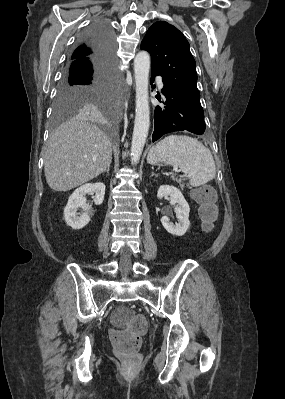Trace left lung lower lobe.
<instances>
[{"mask_svg": "<svg viewBox=\"0 0 285 399\" xmlns=\"http://www.w3.org/2000/svg\"><path fill=\"white\" fill-rule=\"evenodd\" d=\"M156 75L160 74L152 70L151 83H153ZM163 83L162 93L165 101L162 102L163 106L155 108L153 142L162 135L175 131H189L198 135L203 134L206 131L204 116L182 94L173 89L165 79H163Z\"/></svg>", "mask_w": 285, "mask_h": 399, "instance_id": "obj_1", "label": "left lung lower lobe"}]
</instances>
